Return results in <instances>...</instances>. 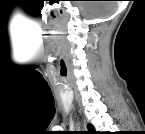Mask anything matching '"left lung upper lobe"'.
I'll list each match as a JSON object with an SVG mask.
<instances>
[{
  "mask_svg": "<svg viewBox=\"0 0 145 134\" xmlns=\"http://www.w3.org/2000/svg\"><path fill=\"white\" fill-rule=\"evenodd\" d=\"M88 129H89V132H88L89 134H96V131L91 124L88 125Z\"/></svg>",
  "mask_w": 145,
  "mask_h": 134,
  "instance_id": "left-lung-upper-lobe-1",
  "label": "left lung upper lobe"
}]
</instances>
